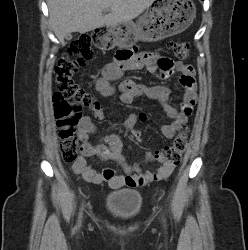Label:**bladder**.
I'll return each instance as SVG.
<instances>
[{
	"label": "bladder",
	"instance_id": "bladder-1",
	"mask_svg": "<svg viewBox=\"0 0 248 250\" xmlns=\"http://www.w3.org/2000/svg\"><path fill=\"white\" fill-rule=\"evenodd\" d=\"M105 207L111 215L117 218L133 219L143 207L142 193L130 188L111 191L106 196Z\"/></svg>",
	"mask_w": 248,
	"mask_h": 250
}]
</instances>
